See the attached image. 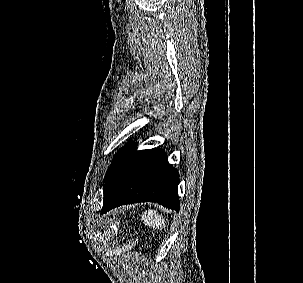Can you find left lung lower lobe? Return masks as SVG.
<instances>
[{
    "mask_svg": "<svg viewBox=\"0 0 303 283\" xmlns=\"http://www.w3.org/2000/svg\"><path fill=\"white\" fill-rule=\"evenodd\" d=\"M179 174L163 150L135 151L134 143L116 157L104 185L102 213L123 204L158 202L179 210Z\"/></svg>",
    "mask_w": 303,
    "mask_h": 283,
    "instance_id": "0a47b994",
    "label": "left lung lower lobe"
}]
</instances>
